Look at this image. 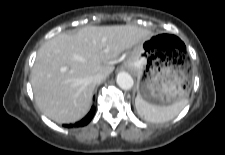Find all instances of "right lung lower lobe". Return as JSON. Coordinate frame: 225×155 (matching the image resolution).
<instances>
[{
	"label": "right lung lower lobe",
	"mask_w": 225,
	"mask_h": 155,
	"mask_svg": "<svg viewBox=\"0 0 225 155\" xmlns=\"http://www.w3.org/2000/svg\"><path fill=\"white\" fill-rule=\"evenodd\" d=\"M94 113H95V107L92 106L90 112L81 121L75 123L74 125H67V126L68 127H72V126L81 127V126H84V125L88 124L91 121V119L94 116Z\"/></svg>",
	"instance_id": "98d812e1"
}]
</instances>
